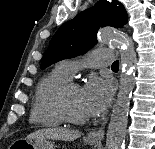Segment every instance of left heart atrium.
Masks as SVG:
<instances>
[{"label":"left heart atrium","instance_id":"39dd6f15","mask_svg":"<svg viewBox=\"0 0 155 149\" xmlns=\"http://www.w3.org/2000/svg\"><path fill=\"white\" fill-rule=\"evenodd\" d=\"M113 95V84L93 77L81 88V101L87 117L103 113L109 106Z\"/></svg>","mask_w":155,"mask_h":149}]
</instances>
